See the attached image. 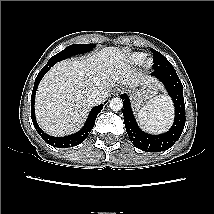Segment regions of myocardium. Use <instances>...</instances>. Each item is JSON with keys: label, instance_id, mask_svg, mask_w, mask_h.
Returning a JSON list of instances; mask_svg holds the SVG:
<instances>
[{"label": "myocardium", "instance_id": "myocardium-1", "mask_svg": "<svg viewBox=\"0 0 214 214\" xmlns=\"http://www.w3.org/2000/svg\"><path fill=\"white\" fill-rule=\"evenodd\" d=\"M142 67L144 69H150L153 66V60L150 57H144V59L141 61Z\"/></svg>", "mask_w": 214, "mask_h": 214}]
</instances>
